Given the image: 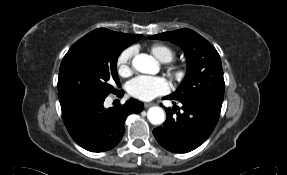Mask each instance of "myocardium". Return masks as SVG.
Returning <instances> with one entry per match:
<instances>
[{"instance_id":"1","label":"myocardium","mask_w":287,"mask_h":175,"mask_svg":"<svg viewBox=\"0 0 287 175\" xmlns=\"http://www.w3.org/2000/svg\"><path fill=\"white\" fill-rule=\"evenodd\" d=\"M168 69H169V72L174 76H179L182 73L181 66L177 64H171Z\"/></svg>"}]
</instances>
